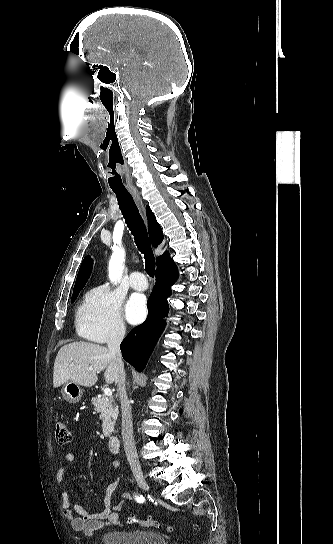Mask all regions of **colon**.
Segmentation results:
<instances>
[{
    "instance_id": "colon-1",
    "label": "colon",
    "mask_w": 333,
    "mask_h": 544,
    "mask_svg": "<svg viewBox=\"0 0 333 544\" xmlns=\"http://www.w3.org/2000/svg\"><path fill=\"white\" fill-rule=\"evenodd\" d=\"M55 439H56V442L59 445H66V444L70 443L71 439H72V435H71V432H70L69 428L61 420H57L55 422ZM128 522H130V523H139L144 527L165 528L167 531L172 530L171 526H163L159 522H157L155 520H152V519H137L134 516H129L128 517Z\"/></svg>"
}]
</instances>
